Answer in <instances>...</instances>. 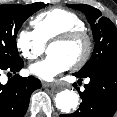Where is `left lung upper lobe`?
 I'll use <instances>...</instances> for the list:
<instances>
[{"instance_id": "obj_1", "label": "left lung upper lobe", "mask_w": 117, "mask_h": 117, "mask_svg": "<svg viewBox=\"0 0 117 117\" xmlns=\"http://www.w3.org/2000/svg\"><path fill=\"white\" fill-rule=\"evenodd\" d=\"M67 6L82 11L86 15L95 40L92 57L76 74L85 76L105 63L117 59V28L115 25L92 6L84 4H68Z\"/></svg>"}]
</instances>
